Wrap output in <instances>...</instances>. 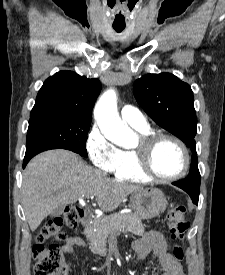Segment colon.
Returning <instances> with one entry per match:
<instances>
[{
  "mask_svg": "<svg viewBox=\"0 0 225 275\" xmlns=\"http://www.w3.org/2000/svg\"><path fill=\"white\" fill-rule=\"evenodd\" d=\"M81 209L77 206L68 207L65 212L48 221L37 236V243L33 247L35 260L34 275H68V265L63 257L61 249L56 245L45 246L43 243L54 237L59 241L66 239L62 231L63 225L75 228L78 224ZM171 237L182 241L189 229V222L185 218V207L182 204L172 205L166 216ZM173 255L177 260L184 258L182 246L175 245Z\"/></svg>",
  "mask_w": 225,
  "mask_h": 275,
  "instance_id": "colon-1",
  "label": "colon"
}]
</instances>
